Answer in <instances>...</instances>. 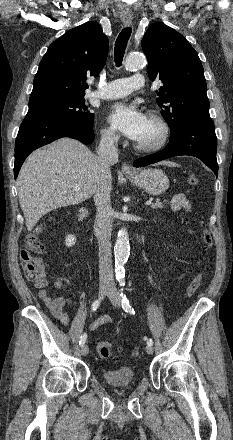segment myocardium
<instances>
[{
  "mask_svg": "<svg viewBox=\"0 0 233 440\" xmlns=\"http://www.w3.org/2000/svg\"><path fill=\"white\" fill-rule=\"evenodd\" d=\"M148 119L160 128V136L155 142L150 144L136 141L134 144L135 148L143 153H153L161 150L170 138V126L161 114L151 111L148 113Z\"/></svg>",
  "mask_w": 233,
  "mask_h": 440,
  "instance_id": "myocardium-1",
  "label": "myocardium"
}]
</instances>
